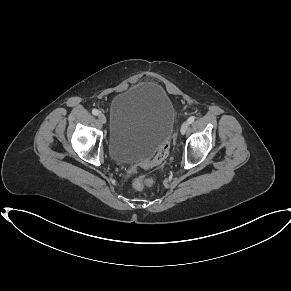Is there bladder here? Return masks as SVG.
<instances>
[{
    "mask_svg": "<svg viewBox=\"0 0 291 291\" xmlns=\"http://www.w3.org/2000/svg\"><path fill=\"white\" fill-rule=\"evenodd\" d=\"M174 119V106L157 84L132 85L110 106L109 157L119 164L146 161L170 141Z\"/></svg>",
    "mask_w": 291,
    "mask_h": 291,
    "instance_id": "1",
    "label": "bladder"
}]
</instances>
